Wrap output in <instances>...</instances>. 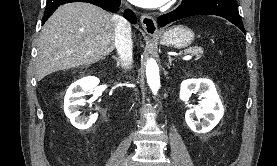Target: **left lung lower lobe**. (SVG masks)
<instances>
[{
  "label": "left lung lower lobe",
  "mask_w": 277,
  "mask_h": 166,
  "mask_svg": "<svg viewBox=\"0 0 277 166\" xmlns=\"http://www.w3.org/2000/svg\"><path fill=\"white\" fill-rule=\"evenodd\" d=\"M194 15H217L236 25L244 33L245 29L238 12L236 0H191L182 4L172 12L158 17L160 26Z\"/></svg>",
  "instance_id": "obj_1"
}]
</instances>
